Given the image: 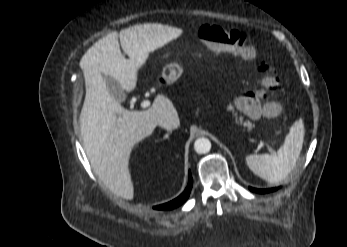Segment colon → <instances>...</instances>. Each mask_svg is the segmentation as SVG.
I'll return each instance as SVG.
<instances>
[{
	"label": "colon",
	"mask_w": 347,
	"mask_h": 247,
	"mask_svg": "<svg viewBox=\"0 0 347 247\" xmlns=\"http://www.w3.org/2000/svg\"><path fill=\"white\" fill-rule=\"evenodd\" d=\"M200 41L214 54L232 53L249 60L255 56L253 42L242 31L225 28L216 24H205L198 31ZM259 72L265 75L262 89L252 90L242 95L237 102V108L251 118H257L263 113L275 115L280 111V105L274 102L263 104L265 91H274L279 85L278 73L266 62L259 65Z\"/></svg>",
	"instance_id": "obj_1"
}]
</instances>
